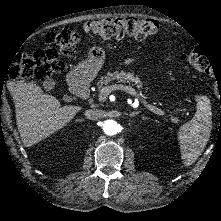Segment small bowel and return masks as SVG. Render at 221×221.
<instances>
[{
    "mask_svg": "<svg viewBox=\"0 0 221 221\" xmlns=\"http://www.w3.org/2000/svg\"><path fill=\"white\" fill-rule=\"evenodd\" d=\"M165 59L167 61L170 60L169 57H166ZM134 62H136V58L135 57H128V58L124 59V64H126V65L132 64Z\"/></svg>",
    "mask_w": 221,
    "mask_h": 221,
    "instance_id": "c3829d8e",
    "label": "small bowel"
}]
</instances>
